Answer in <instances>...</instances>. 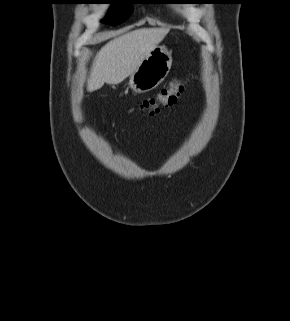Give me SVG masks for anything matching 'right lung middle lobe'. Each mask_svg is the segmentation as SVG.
<instances>
[{
    "instance_id": "obj_1",
    "label": "right lung middle lobe",
    "mask_w": 290,
    "mask_h": 321,
    "mask_svg": "<svg viewBox=\"0 0 290 321\" xmlns=\"http://www.w3.org/2000/svg\"><path fill=\"white\" fill-rule=\"evenodd\" d=\"M97 3L113 4V7L109 10L105 19L106 23L113 25L124 21L133 12L131 0H100Z\"/></svg>"
}]
</instances>
